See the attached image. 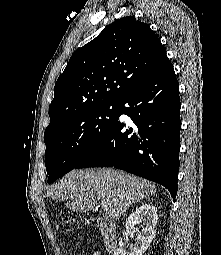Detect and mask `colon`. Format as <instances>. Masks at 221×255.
Segmentation results:
<instances>
[{"label":"colon","mask_w":221,"mask_h":255,"mask_svg":"<svg viewBox=\"0 0 221 255\" xmlns=\"http://www.w3.org/2000/svg\"><path fill=\"white\" fill-rule=\"evenodd\" d=\"M65 221L67 223H71V224L75 223V221L73 219H71V218H65Z\"/></svg>","instance_id":"5ec220e1"}]
</instances>
